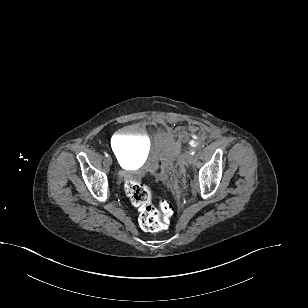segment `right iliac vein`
I'll return each instance as SVG.
<instances>
[{
	"instance_id": "63e3f726",
	"label": "right iliac vein",
	"mask_w": 308,
	"mask_h": 308,
	"mask_svg": "<svg viewBox=\"0 0 308 308\" xmlns=\"http://www.w3.org/2000/svg\"><path fill=\"white\" fill-rule=\"evenodd\" d=\"M107 160L109 163H112V158L110 156L107 158Z\"/></svg>"
}]
</instances>
